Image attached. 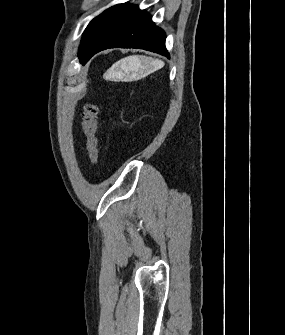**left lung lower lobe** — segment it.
Masks as SVG:
<instances>
[{
    "mask_svg": "<svg viewBox=\"0 0 285 335\" xmlns=\"http://www.w3.org/2000/svg\"><path fill=\"white\" fill-rule=\"evenodd\" d=\"M165 32L151 16L135 5H115L96 17L87 29L79 50L84 65L95 53L107 48H140L169 57Z\"/></svg>",
    "mask_w": 285,
    "mask_h": 335,
    "instance_id": "0a47b994",
    "label": "left lung lower lobe"
}]
</instances>
